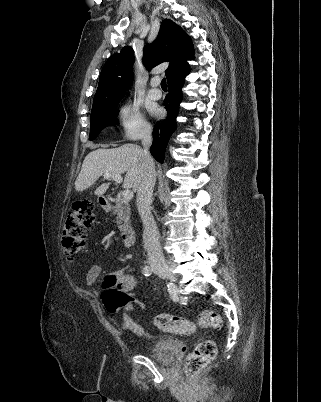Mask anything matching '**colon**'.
<instances>
[{"label": "colon", "instance_id": "5ec220e1", "mask_svg": "<svg viewBox=\"0 0 321 402\" xmlns=\"http://www.w3.org/2000/svg\"><path fill=\"white\" fill-rule=\"evenodd\" d=\"M93 206L89 202H77L68 210L63 226V247L72 259L81 251L88 230L94 224ZM102 301L106 310L116 314L120 308L131 301V297L123 290L111 287L102 293ZM154 325L162 330L176 334H190L196 328L221 329L222 318L212 310L201 311L195 321L172 316L157 314L153 319ZM217 355L214 341L205 340L198 343L187 356L184 371L192 378L199 374Z\"/></svg>", "mask_w": 321, "mask_h": 402}]
</instances>
